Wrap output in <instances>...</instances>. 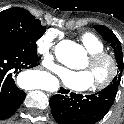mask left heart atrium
<instances>
[{"mask_svg": "<svg viewBox=\"0 0 124 124\" xmlns=\"http://www.w3.org/2000/svg\"><path fill=\"white\" fill-rule=\"evenodd\" d=\"M59 77L65 86L77 91L87 90L94 84L89 70L61 69Z\"/></svg>", "mask_w": 124, "mask_h": 124, "instance_id": "39dd6f15", "label": "left heart atrium"}]
</instances>
